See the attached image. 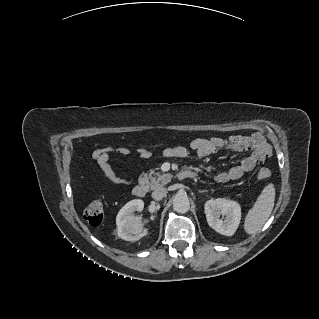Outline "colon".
Wrapping results in <instances>:
<instances>
[{"mask_svg":"<svg viewBox=\"0 0 319 319\" xmlns=\"http://www.w3.org/2000/svg\"><path fill=\"white\" fill-rule=\"evenodd\" d=\"M258 177L260 179H269L271 172L267 168H261L258 171ZM84 217L89 224L93 226L99 225L104 218V206L102 202L100 200L91 201L84 210Z\"/></svg>","mask_w":319,"mask_h":319,"instance_id":"1","label":"colon"}]
</instances>
